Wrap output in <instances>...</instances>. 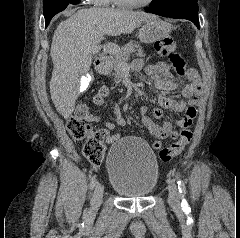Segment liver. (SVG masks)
Here are the masks:
<instances>
[{"label": "liver", "mask_w": 240, "mask_h": 238, "mask_svg": "<svg viewBox=\"0 0 240 238\" xmlns=\"http://www.w3.org/2000/svg\"><path fill=\"white\" fill-rule=\"evenodd\" d=\"M153 14L110 8L80 9L55 30L51 45L54 64L50 80L51 99L56 110L68 119L74 111L80 88V76L92 64L90 49L105 35L130 34L143 22L154 20ZM116 43L108 42L103 50L118 51Z\"/></svg>", "instance_id": "liver-1"}]
</instances>
